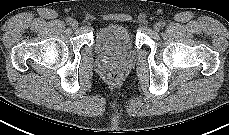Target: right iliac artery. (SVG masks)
<instances>
[{"label": "right iliac artery", "instance_id": "right-iliac-artery-1", "mask_svg": "<svg viewBox=\"0 0 229 135\" xmlns=\"http://www.w3.org/2000/svg\"><path fill=\"white\" fill-rule=\"evenodd\" d=\"M72 21H73V19H72V18H70V17H69V18H67V23H68V24H71V23H72Z\"/></svg>", "mask_w": 229, "mask_h": 135}]
</instances>
